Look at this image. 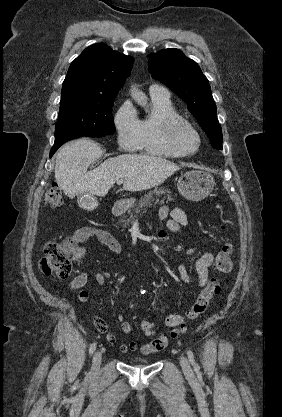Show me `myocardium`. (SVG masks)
<instances>
[{"instance_id": "obj_1", "label": "myocardium", "mask_w": 282, "mask_h": 417, "mask_svg": "<svg viewBox=\"0 0 282 417\" xmlns=\"http://www.w3.org/2000/svg\"><path fill=\"white\" fill-rule=\"evenodd\" d=\"M164 123L167 133L165 140L167 144L176 152L181 155H190L193 151L187 150L180 141V136L183 132H189L197 139V143L200 142V136L198 132L182 117L178 115H165L161 118Z\"/></svg>"}]
</instances>
